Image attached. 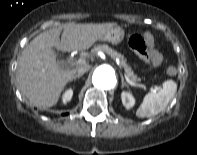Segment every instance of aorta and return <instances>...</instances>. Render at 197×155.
<instances>
[{
  "instance_id": "762f6f07",
  "label": "aorta",
  "mask_w": 197,
  "mask_h": 155,
  "mask_svg": "<svg viewBox=\"0 0 197 155\" xmlns=\"http://www.w3.org/2000/svg\"><path fill=\"white\" fill-rule=\"evenodd\" d=\"M92 82L97 88L113 89L117 84L115 70L108 64L98 66L93 73Z\"/></svg>"
}]
</instances>
